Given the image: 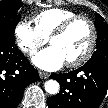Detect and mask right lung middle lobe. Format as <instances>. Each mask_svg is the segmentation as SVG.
<instances>
[{
	"label": "right lung middle lobe",
	"instance_id": "obj_1",
	"mask_svg": "<svg viewBox=\"0 0 108 108\" xmlns=\"http://www.w3.org/2000/svg\"><path fill=\"white\" fill-rule=\"evenodd\" d=\"M22 2L15 0H4L0 2V38L5 41L14 42V31L19 22L18 10Z\"/></svg>",
	"mask_w": 108,
	"mask_h": 108
}]
</instances>
